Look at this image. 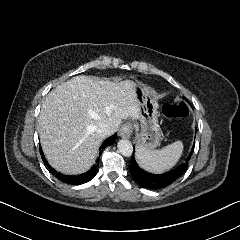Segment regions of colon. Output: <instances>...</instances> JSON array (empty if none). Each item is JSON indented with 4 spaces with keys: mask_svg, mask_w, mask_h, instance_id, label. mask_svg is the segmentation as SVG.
Masks as SVG:
<instances>
[{
    "mask_svg": "<svg viewBox=\"0 0 240 240\" xmlns=\"http://www.w3.org/2000/svg\"><path fill=\"white\" fill-rule=\"evenodd\" d=\"M189 112L190 107L186 102L167 104L163 107V113L168 118H186Z\"/></svg>",
    "mask_w": 240,
    "mask_h": 240,
    "instance_id": "colon-1",
    "label": "colon"
}]
</instances>
